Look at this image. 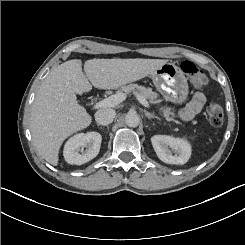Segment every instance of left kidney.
I'll return each instance as SVG.
<instances>
[{
  "instance_id": "5707ae66",
  "label": "left kidney",
  "mask_w": 245,
  "mask_h": 245,
  "mask_svg": "<svg viewBox=\"0 0 245 245\" xmlns=\"http://www.w3.org/2000/svg\"><path fill=\"white\" fill-rule=\"evenodd\" d=\"M151 143L159 159L168 164H185L192 154L190 141L184 137L170 135H154ZM172 148L174 155L171 153Z\"/></svg>"
}]
</instances>
